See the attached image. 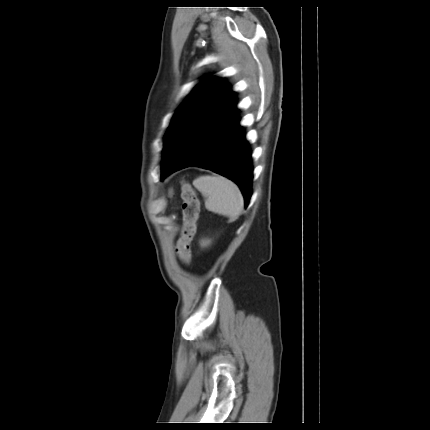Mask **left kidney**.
Returning <instances> with one entry per match:
<instances>
[{
	"label": "left kidney",
	"mask_w": 430,
	"mask_h": 430,
	"mask_svg": "<svg viewBox=\"0 0 430 430\" xmlns=\"http://www.w3.org/2000/svg\"><path fill=\"white\" fill-rule=\"evenodd\" d=\"M208 243V241H202L201 246H206Z\"/></svg>",
	"instance_id": "1"
}]
</instances>
